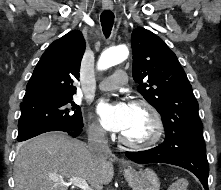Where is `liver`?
<instances>
[{"instance_id":"liver-1","label":"liver","mask_w":221,"mask_h":190,"mask_svg":"<svg viewBox=\"0 0 221 190\" xmlns=\"http://www.w3.org/2000/svg\"><path fill=\"white\" fill-rule=\"evenodd\" d=\"M113 161L94 157L83 142L64 134H42L18 147L15 190H68L53 178L73 177L85 179L93 190H102L114 176Z\"/></svg>"}]
</instances>
